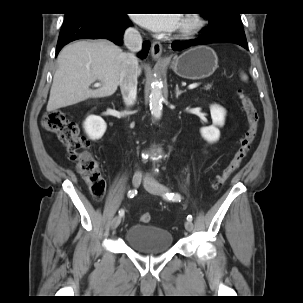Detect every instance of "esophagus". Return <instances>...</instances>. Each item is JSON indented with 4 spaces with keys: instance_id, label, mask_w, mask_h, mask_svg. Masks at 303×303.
<instances>
[{
    "instance_id": "obj_1",
    "label": "esophagus",
    "mask_w": 303,
    "mask_h": 303,
    "mask_svg": "<svg viewBox=\"0 0 303 303\" xmlns=\"http://www.w3.org/2000/svg\"><path fill=\"white\" fill-rule=\"evenodd\" d=\"M151 55L155 60H165L162 57V45L159 41H153L151 44Z\"/></svg>"
}]
</instances>
